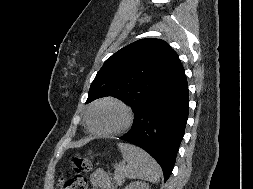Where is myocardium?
<instances>
[{
	"instance_id": "obj_1",
	"label": "myocardium",
	"mask_w": 253,
	"mask_h": 189,
	"mask_svg": "<svg viewBox=\"0 0 253 189\" xmlns=\"http://www.w3.org/2000/svg\"><path fill=\"white\" fill-rule=\"evenodd\" d=\"M105 103H111V104H115V105L119 106L124 111L125 120L119 128L112 130V131L101 132V131H97L96 129L93 128L92 123H91V114H92V111L96 107H98L102 104H105ZM133 118H134L133 112L126 103H124L123 101H121L117 98L106 97V98L96 101L95 103H93L89 107V109L86 113L85 121H86V126H87L88 130L92 134H94L96 136H100V137H112V136H117V135H120V134L126 132L131 127V125L133 123Z\"/></svg>"
}]
</instances>
